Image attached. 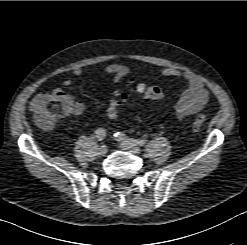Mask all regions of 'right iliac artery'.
I'll list each match as a JSON object with an SVG mask.
<instances>
[{"instance_id": "right-iliac-artery-1", "label": "right iliac artery", "mask_w": 247, "mask_h": 245, "mask_svg": "<svg viewBox=\"0 0 247 245\" xmlns=\"http://www.w3.org/2000/svg\"><path fill=\"white\" fill-rule=\"evenodd\" d=\"M95 136L99 141H102L106 136V132L103 128H99L95 131Z\"/></svg>"}]
</instances>
